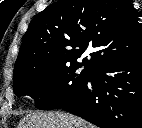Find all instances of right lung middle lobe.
<instances>
[{
	"mask_svg": "<svg viewBox=\"0 0 142 128\" xmlns=\"http://www.w3.org/2000/svg\"><path fill=\"white\" fill-rule=\"evenodd\" d=\"M81 64H38L14 76L16 95H28L38 109H58L68 104L87 84L92 69Z\"/></svg>",
	"mask_w": 142,
	"mask_h": 128,
	"instance_id": "obj_1",
	"label": "right lung middle lobe"
}]
</instances>
